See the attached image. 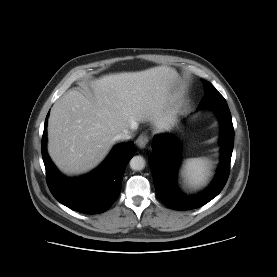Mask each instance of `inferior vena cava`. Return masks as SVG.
I'll return each mask as SVG.
<instances>
[{
  "instance_id": "602c4592",
  "label": "inferior vena cava",
  "mask_w": 277,
  "mask_h": 277,
  "mask_svg": "<svg viewBox=\"0 0 277 277\" xmlns=\"http://www.w3.org/2000/svg\"><path fill=\"white\" fill-rule=\"evenodd\" d=\"M136 127H132V129H135ZM132 136H131V132L129 130H124L123 132L117 134L115 136V139L116 140H128L130 139Z\"/></svg>"
}]
</instances>
